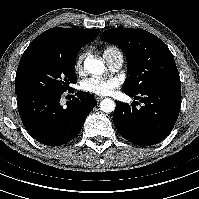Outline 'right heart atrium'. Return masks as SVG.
Segmentation results:
<instances>
[{"mask_svg":"<svg viewBox=\"0 0 199 199\" xmlns=\"http://www.w3.org/2000/svg\"><path fill=\"white\" fill-rule=\"evenodd\" d=\"M87 55H88V52L85 51V52L80 53L77 56V58L74 62V69L76 72H81L83 70L84 60L87 57Z\"/></svg>","mask_w":199,"mask_h":199,"instance_id":"1","label":"right heart atrium"}]
</instances>
